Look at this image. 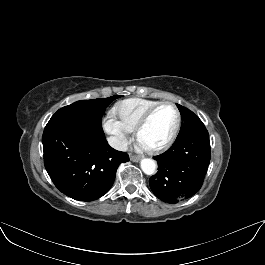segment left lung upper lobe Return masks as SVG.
<instances>
[{"mask_svg":"<svg viewBox=\"0 0 265 265\" xmlns=\"http://www.w3.org/2000/svg\"><path fill=\"white\" fill-rule=\"evenodd\" d=\"M176 105L182 116L181 129H180L178 136H182L199 127L204 126V124L202 123V121L199 119V117L196 114H194L192 111H190L189 109L179 104H176Z\"/></svg>","mask_w":265,"mask_h":265,"instance_id":"obj_1","label":"left lung upper lobe"}]
</instances>
